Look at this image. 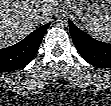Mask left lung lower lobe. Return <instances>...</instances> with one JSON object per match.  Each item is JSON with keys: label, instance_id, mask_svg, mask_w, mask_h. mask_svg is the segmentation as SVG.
Listing matches in <instances>:
<instances>
[{"label": "left lung lower lobe", "instance_id": "left-lung-lower-lobe-1", "mask_svg": "<svg viewBox=\"0 0 111 106\" xmlns=\"http://www.w3.org/2000/svg\"><path fill=\"white\" fill-rule=\"evenodd\" d=\"M69 27L77 50L87 62L101 68L111 67V44L93 39L79 30L70 20Z\"/></svg>", "mask_w": 111, "mask_h": 106}]
</instances>
